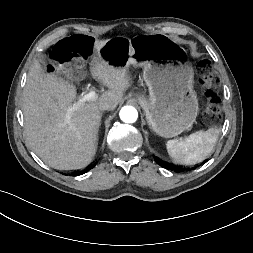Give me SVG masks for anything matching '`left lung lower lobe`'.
I'll return each instance as SVG.
<instances>
[{"instance_id":"obj_1","label":"left lung lower lobe","mask_w":253,"mask_h":253,"mask_svg":"<svg viewBox=\"0 0 253 253\" xmlns=\"http://www.w3.org/2000/svg\"><path fill=\"white\" fill-rule=\"evenodd\" d=\"M156 162L163 168H166V169H170V170H174L176 172H182L183 169H178L176 166L172 165V164H169L165 161H162L160 159H157L156 158Z\"/></svg>"}]
</instances>
